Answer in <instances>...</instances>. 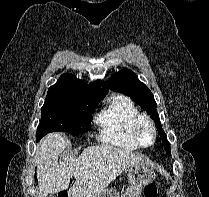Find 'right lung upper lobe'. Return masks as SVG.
<instances>
[{
  "label": "right lung upper lobe",
  "instance_id": "right-lung-upper-lobe-1",
  "mask_svg": "<svg viewBox=\"0 0 209 197\" xmlns=\"http://www.w3.org/2000/svg\"><path fill=\"white\" fill-rule=\"evenodd\" d=\"M51 87L78 88L98 99L104 98L108 91L107 85L102 80L94 81L87 85L84 81L77 79L75 75L68 73L63 74L58 82Z\"/></svg>",
  "mask_w": 209,
  "mask_h": 197
}]
</instances>
